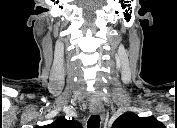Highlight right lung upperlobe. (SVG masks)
Here are the masks:
<instances>
[{
  "label": "right lung upper lobe",
  "instance_id": "cb5924a9",
  "mask_svg": "<svg viewBox=\"0 0 177 128\" xmlns=\"http://www.w3.org/2000/svg\"><path fill=\"white\" fill-rule=\"evenodd\" d=\"M51 128H80L81 124L74 120H67L65 117L59 118L50 124Z\"/></svg>",
  "mask_w": 177,
  "mask_h": 128
}]
</instances>
